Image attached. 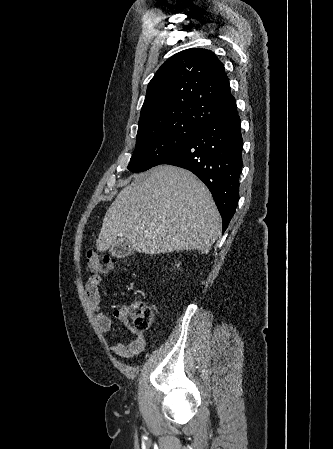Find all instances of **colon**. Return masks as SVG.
I'll return each mask as SVG.
<instances>
[{
	"label": "colon",
	"instance_id": "obj_1",
	"mask_svg": "<svg viewBox=\"0 0 333 449\" xmlns=\"http://www.w3.org/2000/svg\"><path fill=\"white\" fill-rule=\"evenodd\" d=\"M115 260L107 255L96 251H90L86 255V266L91 272L99 273L113 267ZM127 313L132 320L134 329L144 331L153 323L155 312L144 302L135 300L129 307Z\"/></svg>",
	"mask_w": 333,
	"mask_h": 449
}]
</instances>
